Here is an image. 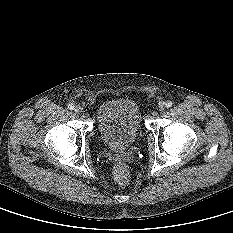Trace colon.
<instances>
[{"mask_svg": "<svg viewBox=\"0 0 233 233\" xmlns=\"http://www.w3.org/2000/svg\"><path fill=\"white\" fill-rule=\"evenodd\" d=\"M114 177L119 183H126L130 177V172L127 165L124 163L117 164L114 168Z\"/></svg>", "mask_w": 233, "mask_h": 233, "instance_id": "obj_1", "label": "colon"}]
</instances>
